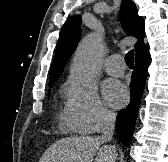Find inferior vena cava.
Instances as JSON below:
<instances>
[{
  "instance_id": "inferior-vena-cava-1",
  "label": "inferior vena cava",
  "mask_w": 168,
  "mask_h": 162,
  "mask_svg": "<svg viewBox=\"0 0 168 162\" xmlns=\"http://www.w3.org/2000/svg\"><path fill=\"white\" fill-rule=\"evenodd\" d=\"M116 114L111 111H104L102 115L101 131L102 135L100 139L103 142L111 141L115 129ZM111 150L116 153V148L110 145Z\"/></svg>"
}]
</instances>
